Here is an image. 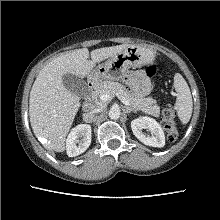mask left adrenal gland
<instances>
[{"mask_svg": "<svg viewBox=\"0 0 220 220\" xmlns=\"http://www.w3.org/2000/svg\"><path fill=\"white\" fill-rule=\"evenodd\" d=\"M126 112L127 113H131V112L136 113L137 111L135 109L131 108V107H126Z\"/></svg>", "mask_w": 220, "mask_h": 220, "instance_id": "1", "label": "left adrenal gland"}]
</instances>
